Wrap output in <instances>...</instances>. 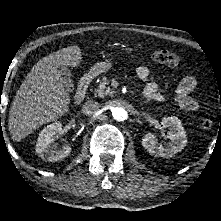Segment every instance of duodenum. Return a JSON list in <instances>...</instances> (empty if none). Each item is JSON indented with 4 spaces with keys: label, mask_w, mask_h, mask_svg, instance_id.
I'll use <instances>...</instances> for the list:
<instances>
[{
    "label": "duodenum",
    "mask_w": 221,
    "mask_h": 221,
    "mask_svg": "<svg viewBox=\"0 0 221 221\" xmlns=\"http://www.w3.org/2000/svg\"><path fill=\"white\" fill-rule=\"evenodd\" d=\"M92 80H93V77L90 74H86L80 79L78 88L76 90L75 97H74L76 104H80L84 101Z\"/></svg>",
    "instance_id": "410a0bca"
}]
</instances>
